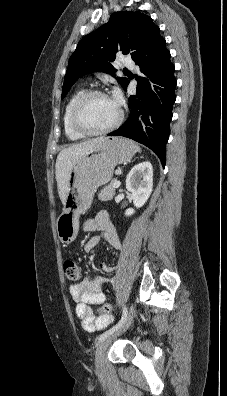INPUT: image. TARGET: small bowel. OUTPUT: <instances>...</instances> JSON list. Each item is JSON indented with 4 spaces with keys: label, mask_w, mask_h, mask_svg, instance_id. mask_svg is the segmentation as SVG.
<instances>
[{
    "label": "small bowel",
    "mask_w": 227,
    "mask_h": 396,
    "mask_svg": "<svg viewBox=\"0 0 227 396\" xmlns=\"http://www.w3.org/2000/svg\"><path fill=\"white\" fill-rule=\"evenodd\" d=\"M85 231L94 232L102 231L103 239L114 249L121 247V242L116 228L109 220L104 212L97 213L94 217L88 218L83 223ZM101 238L92 236L84 245L86 252L92 251L100 242ZM100 268L110 273L114 267L106 263H100ZM106 282V278L101 276H91L88 279L72 284L70 293L76 303L75 313L80 320L82 327L89 332L101 330L108 326L112 321L109 314L96 315L91 305H103L106 301V295L102 291V287Z\"/></svg>",
    "instance_id": "obj_1"
}]
</instances>
